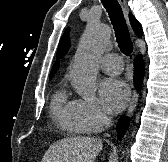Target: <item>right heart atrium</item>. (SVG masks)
<instances>
[{
	"label": "right heart atrium",
	"instance_id": "1",
	"mask_svg": "<svg viewBox=\"0 0 168 162\" xmlns=\"http://www.w3.org/2000/svg\"><path fill=\"white\" fill-rule=\"evenodd\" d=\"M74 115L77 121L88 132H99L106 125L108 118L98 104L87 99H78L74 102Z\"/></svg>",
	"mask_w": 168,
	"mask_h": 162
}]
</instances>
